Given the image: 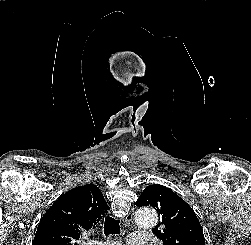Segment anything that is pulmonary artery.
<instances>
[{
	"instance_id": "1",
	"label": "pulmonary artery",
	"mask_w": 251,
	"mask_h": 245,
	"mask_svg": "<svg viewBox=\"0 0 251 245\" xmlns=\"http://www.w3.org/2000/svg\"><path fill=\"white\" fill-rule=\"evenodd\" d=\"M149 236L140 232H133L127 237L128 245H146L148 242ZM90 245H120L115 241H106V242H94L89 243Z\"/></svg>"
}]
</instances>
